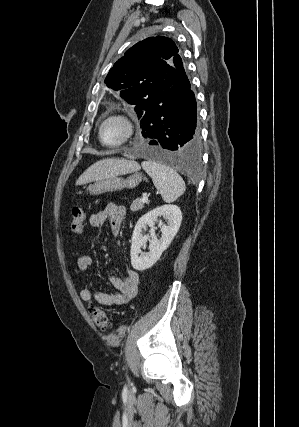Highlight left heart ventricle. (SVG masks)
Masks as SVG:
<instances>
[{
  "label": "left heart ventricle",
  "mask_w": 299,
  "mask_h": 427,
  "mask_svg": "<svg viewBox=\"0 0 299 427\" xmlns=\"http://www.w3.org/2000/svg\"><path fill=\"white\" fill-rule=\"evenodd\" d=\"M125 131L123 123L117 119L109 120L102 129V138L106 143H115L119 141Z\"/></svg>",
  "instance_id": "b2bd125f"
}]
</instances>
